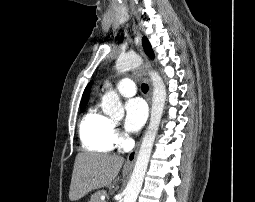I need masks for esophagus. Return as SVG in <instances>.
Segmentation results:
<instances>
[{"label": "esophagus", "instance_id": "esophagus-1", "mask_svg": "<svg viewBox=\"0 0 255 202\" xmlns=\"http://www.w3.org/2000/svg\"><path fill=\"white\" fill-rule=\"evenodd\" d=\"M133 29H134V33H135L136 46H137L138 50L140 51V53L144 56V53H143L142 47H141L140 31H139V29L137 28V26L135 24H133ZM146 66H148V62H146ZM148 81H149L148 102L150 104L151 103V95H152V87H151L150 79H148ZM139 146H140V141L136 144L134 149L128 154L126 162H125V166L127 168H130L134 165V162L136 160V156H137V153H138Z\"/></svg>", "mask_w": 255, "mask_h": 202}]
</instances>
